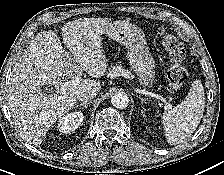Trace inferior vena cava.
Returning a JSON list of instances; mask_svg holds the SVG:
<instances>
[{"mask_svg":"<svg viewBox=\"0 0 224 175\" xmlns=\"http://www.w3.org/2000/svg\"><path fill=\"white\" fill-rule=\"evenodd\" d=\"M97 95V92L95 90H90V91H81L78 93L77 98L81 102H87Z\"/></svg>","mask_w":224,"mask_h":175,"instance_id":"1","label":"inferior vena cava"}]
</instances>
